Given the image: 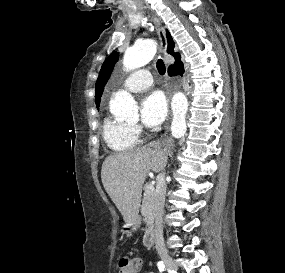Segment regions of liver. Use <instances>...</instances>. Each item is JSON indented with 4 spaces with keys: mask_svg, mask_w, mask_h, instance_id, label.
Here are the masks:
<instances>
[{
    "mask_svg": "<svg viewBox=\"0 0 285 273\" xmlns=\"http://www.w3.org/2000/svg\"><path fill=\"white\" fill-rule=\"evenodd\" d=\"M166 163V153L156 142L105 159L102 183L126 223L138 219L142 187L148 173L161 171Z\"/></svg>",
    "mask_w": 285,
    "mask_h": 273,
    "instance_id": "1",
    "label": "liver"
}]
</instances>
